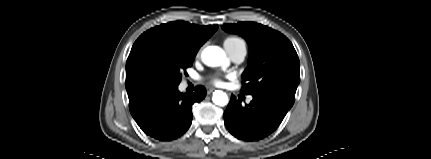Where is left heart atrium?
<instances>
[{"label": "left heart atrium", "mask_w": 431, "mask_h": 159, "mask_svg": "<svg viewBox=\"0 0 431 159\" xmlns=\"http://www.w3.org/2000/svg\"><path fill=\"white\" fill-rule=\"evenodd\" d=\"M212 82H213L214 84H216V85H220V84H222V80H221V78H219V77H213V78H212Z\"/></svg>", "instance_id": "left-heart-atrium-1"}]
</instances>
